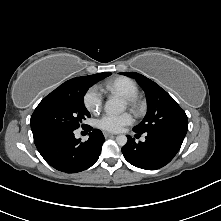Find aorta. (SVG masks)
I'll return each instance as SVG.
<instances>
[{"label": "aorta", "mask_w": 221, "mask_h": 221, "mask_svg": "<svg viewBox=\"0 0 221 221\" xmlns=\"http://www.w3.org/2000/svg\"><path fill=\"white\" fill-rule=\"evenodd\" d=\"M104 110L108 114H120L125 110V105L120 99L112 97L106 101ZM116 142L119 146H124L127 143V137L125 135H118Z\"/></svg>", "instance_id": "762f6f07"}]
</instances>
